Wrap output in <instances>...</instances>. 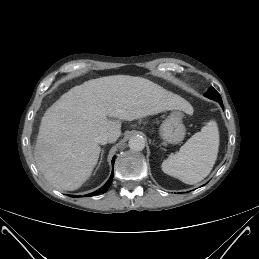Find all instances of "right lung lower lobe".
<instances>
[{
    "label": "right lung lower lobe",
    "instance_id": "1",
    "mask_svg": "<svg viewBox=\"0 0 259 259\" xmlns=\"http://www.w3.org/2000/svg\"><path fill=\"white\" fill-rule=\"evenodd\" d=\"M114 158H115V156L113 157V160H112L113 166H114ZM112 179H113V173L111 174V176H110L109 180L107 181V183L102 188H100L99 190H97V191H95L93 193L88 194L87 196H93V195H97L99 193H105L108 190V188H109V186H110V184L112 182Z\"/></svg>",
    "mask_w": 259,
    "mask_h": 259
}]
</instances>
